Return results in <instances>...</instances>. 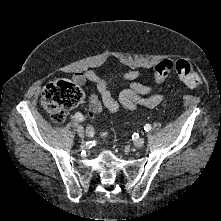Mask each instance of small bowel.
<instances>
[{
    "label": "small bowel",
    "instance_id": "small-bowel-1",
    "mask_svg": "<svg viewBox=\"0 0 221 221\" xmlns=\"http://www.w3.org/2000/svg\"><path fill=\"white\" fill-rule=\"evenodd\" d=\"M140 71L130 70L123 73L120 79L128 82V87L120 92L118 100L111 93L110 85L113 79L100 77L94 70H85L74 74L73 80L77 84H84L86 81L94 82L97 86L96 93L89 95V107L94 113H100L105 108L110 113H116L120 107L134 111L138 107L152 108L159 105L164 96L153 92V89L145 84L136 82Z\"/></svg>",
    "mask_w": 221,
    "mask_h": 221
}]
</instances>
